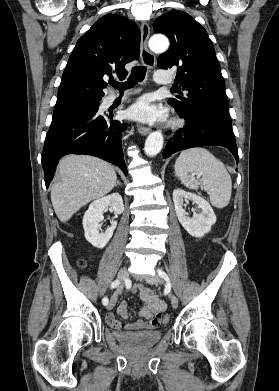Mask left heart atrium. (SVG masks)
I'll use <instances>...</instances> for the list:
<instances>
[{
  "instance_id": "obj_1",
  "label": "left heart atrium",
  "mask_w": 279,
  "mask_h": 391,
  "mask_svg": "<svg viewBox=\"0 0 279 391\" xmlns=\"http://www.w3.org/2000/svg\"><path fill=\"white\" fill-rule=\"evenodd\" d=\"M128 114L131 118L145 123L160 122L166 118L165 108L153 104L152 99L149 96L138 99L130 107Z\"/></svg>"
}]
</instances>
